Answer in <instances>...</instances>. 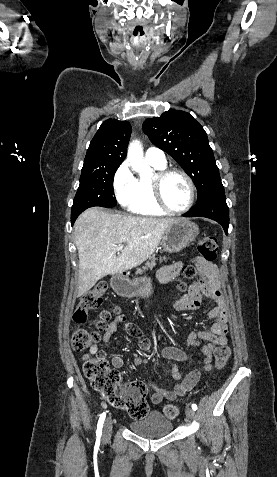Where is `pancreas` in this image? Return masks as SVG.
I'll return each instance as SVG.
<instances>
[{"label":"pancreas","instance_id":"cf45deb5","mask_svg":"<svg viewBox=\"0 0 277 477\" xmlns=\"http://www.w3.org/2000/svg\"><path fill=\"white\" fill-rule=\"evenodd\" d=\"M156 260H157V259H156V257H155L154 255L151 256V257L149 258V261H147L146 264H145V266L143 267V271L148 270V269L151 270V269L155 266ZM165 260H166V257H163V258L160 257V258H159V261H160V262H161V261H165ZM138 271L141 272L140 269H139Z\"/></svg>","mask_w":277,"mask_h":477}]
</instances>
